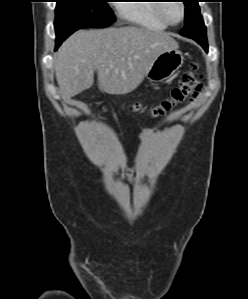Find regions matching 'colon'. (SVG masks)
Returning <instances> with one entry per match:
<instances>
[{
    "label": "colon",
    "instance_id": "1",
    "mask_svg": "<svg viewBox=\"0 0 248 299\" xmlns=\"http://www.w3.org/2000/svg\"><path fill=\"white\" fill-rule=\"evenodd\" d=\"M202 86V78L198 72V67L192 65L190 70L182 75L178 86L172 89L170 95L149 111L153 116L157 117L170 112L178 106L189 104L196 98ZM132 107L140 109L138 104H134Z\"/></svg>",
    "mask_w": 248,
    "mask_h": 299
}]
</instances>
